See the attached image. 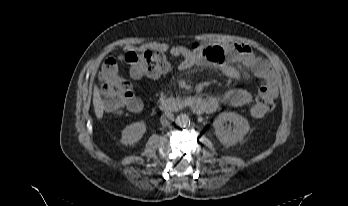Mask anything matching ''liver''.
I'll list each match as a JSON object with an SVG mask.
<instances>
[{
    "instance_id": "6515ba94",
    "label": "liver",
    "mask_w": 348,
    "mask_h": 206,
    "mask_svg": "<svg viewBox=\"0 0 348 206\" xmlns=\"http://www.w3.org/2000/svg\"><path fill=\"white\" fill-rule=\"evenodd\" d=\"M93 105L96 117L98 119H102L104 113V104L97 86H95L93 92Z\"/></svg>"
}]
</instances>
